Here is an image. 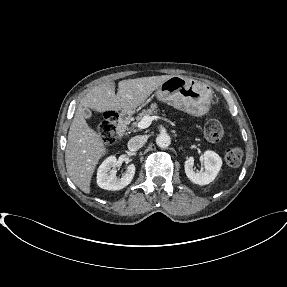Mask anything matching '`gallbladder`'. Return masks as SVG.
<instances>
[{"label": "gallbladder", "mask_w": 287, "mask_h": 287, "mask_svg": "<svg viewBox=\"0 0 287 287\" xmlns=\"http://www.w3.org/2000/svg\"><path fill=\"white\" fill-rule=\"evenodd\" d=\"M83 113H84L85 118H87V119H90L92 117V112L88 108H85L83 110Z\"/></svg>", "instance_id": "1"}]
</instances>
